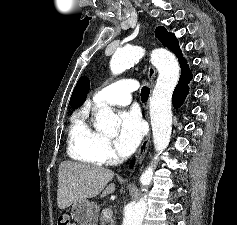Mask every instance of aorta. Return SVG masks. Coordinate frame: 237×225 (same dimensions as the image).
Instances as JSON below:
<instances>
[{
    "label": "aorta",
    "mask_w": 237,
    "mask_h": 225,
    "mask_svg": "<svg viewBox=\"0 0 237 225\" xmlns=\"http://www.w3.org/2000/svg\"><path fill=\"white\" fill-rule=\"evenodd\" d=\"M145 50L139 46H129L117 50L110 60L113 74H120L139 62ZM151 62L158 70V78L150 100V118L153 143L156 152L161 154L169 145L172 131V94L178 83L180 67L176 57L164 49H155L151 53ZM96 128L106 134L116 132L117 116L110 107L98 110L95 116ZM157 159V156H156ZM153 164L142 173L140 182L143 186L151 184ZM147 210L144 199L128 205L124 210L122 225H141Z\"/></svg>",
    "instance_id": "1"
}]
</instances>
